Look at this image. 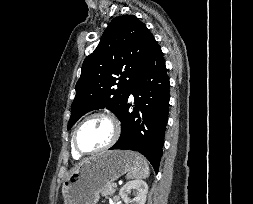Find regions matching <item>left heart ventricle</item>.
<instances>
[{"instance_id": "b2bd125f", "label": "left heart ventricle", "mask_w": 253, "mask_h": 204, "mask_svg": "<svg viewBox=\"0 0 253 204\" xmlns=\"http://www.w3.org/2000/svg\"><path fill=\"white\" fill-rule=\"evenodd\" d=\"M113 135V126L105 118H93L84 123L78 131L77 143L84 151H91L106 145Z\"/></svg>"}]
</instances>
